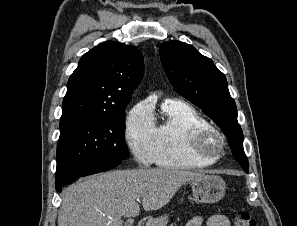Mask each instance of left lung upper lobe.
I'll return each mask as SVG.
<instances>
[{
  "mask_svg": "<svg viewBox=\"0 0 297 226\" xmlns=\"http://www.w3.org/2000/svg\"><path fill=\"white\" fill-rule=\"evenodd\" d=\"M160 59L174 89L216 122L229 139L234 158L248 173L249 163L243 149V133L225 75L211 59L201 55L193 46L180 41L162 43Z\"/></svg>",
  "mask_w": 297,
  "mask_h": 226,
  "instance_id": "left-lung-upper-lobe-1",
  "label": "left lung upper lobe"
}]
</instances>
